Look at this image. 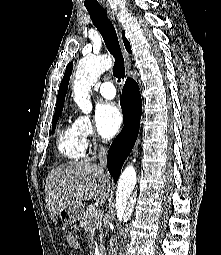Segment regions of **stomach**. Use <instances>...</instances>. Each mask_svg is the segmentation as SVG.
<instances>
[{
    "label": "stomach",
    "mask_w": 221,
    "mask_h": 255,
    "mask_svg": "<svg viewBox=\"0 0 221 255\" xmlns=\"http://www.w3.org/2000/svg\"><path fill=\"white\" fill-rule=\"evenodd\" d=\"M84 208V204L80 201L69 202L60 209L58 218L63 224H73L82 217Z\"/></svg>",
    "instance_id": "stomach-1"
}]
</instances>
